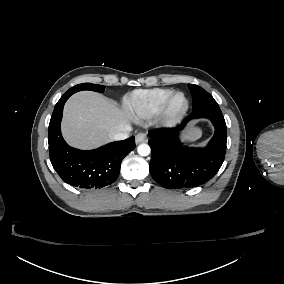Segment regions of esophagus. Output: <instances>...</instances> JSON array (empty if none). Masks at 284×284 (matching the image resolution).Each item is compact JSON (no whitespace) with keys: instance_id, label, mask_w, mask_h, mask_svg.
<instances>
[{"instance_id":"obj_1","label":"esophagus","mask_w":284,"mask_h":284,"mask_svg":"<svg viewBox=\"0 0 284 284\" xmlns=\"http://www.w3.org/2000/svg\"><path fill=\"white\" fill-rule=\"evenodd\" d=\"M146 139H147L146 133H138V134L135 136L136 144L145 142Z\"/></svg>"}]
</instances>
